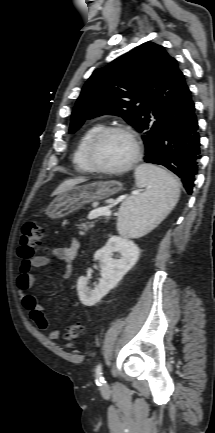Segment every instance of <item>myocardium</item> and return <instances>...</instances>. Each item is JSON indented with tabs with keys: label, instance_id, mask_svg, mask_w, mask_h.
Wrapping results in <instances>:
<instances>
[{
	"label": "myocardium",
	"instance_id": "f54148a6",
	"mask_svg": "<svg viewBox=\"0 0 215 433\" xmlns=\"http://www.w3.org/2000/svg\"><path fill=\"white\" fill-rule=\"evenodd\" d=\"M110 133L124 134L131 140L134 147V152L131 159L125 165L118 168L101 167L95 162L93 156L94 148L98 143V141ZM141 155H142V146L137 134L130 128L121 125L103 127L97 133H95V135L90 139L86 147V160L89 166L93 169V171L99 173H105V174L118 175L130 171L140 161Z\"/></svg>",
	"mask_w": 215,
	"mask_h": 433
}]
</instances>
